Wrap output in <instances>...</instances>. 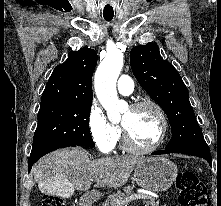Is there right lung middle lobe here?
<instances>
[{
    "mask_svg": "<svg viewBox=\"0 0 221 206\" xmlns=\"http://www.w3.org/2000/svg\"><path fill=\"white\" fill-rule=\"evenodd\" d=\"M92 104L40 108L31 155L66 147H94L89 130Z\"/></svg>",
    "mask_w": 221,
    "mask_h": 206,
    "instance_id": "right-lung-middle-lobe-1",
    "label": "right lung middle lobe"
}]
</instances>
